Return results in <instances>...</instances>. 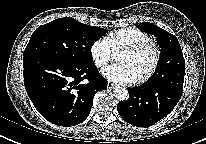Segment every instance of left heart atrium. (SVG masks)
<instances>
[{
	"label": "left heart atrium",
	"mask_w": 206,
	"mask_h": 144,
	"mask_svg": "<svg viewBox=\"0 0 206 144\" xmlns=\"http://www.w3.org/2000/svg\"><path fill=\"white\" fill-rule=\"evenodd\" d=\"M103 74L106 78L118 83H129L136 80L131 68L124 63H118L106 68Z\"/></svg>",
	"instance_id": "1"
}]
</instances>
